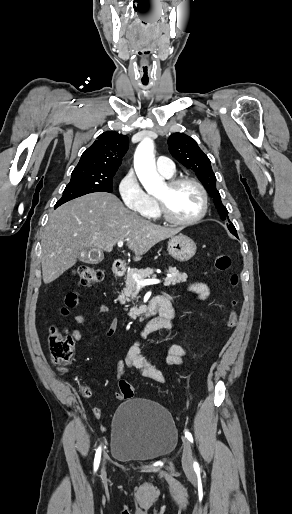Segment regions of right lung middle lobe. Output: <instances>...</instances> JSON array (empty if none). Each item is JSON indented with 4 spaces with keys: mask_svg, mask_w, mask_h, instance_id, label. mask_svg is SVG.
I'll return each mask as SVG.
<instances>
[{
    "mask_svg": "<svg viewBox=\"0 0 292 514\" xmlns=\"http://www.w3.org/2000/svg\"><path fill=\"white\" fill-rule=\"evenodd\" d=\"M93 192H113V176L71 174V180L63 191L55 208L74 198Z\"/></svg>",
    "mask_w": 292,
    "mask_h": 514,
    "instance_id": "1",
    "label": "right lung middle lobe"
}]
</instances>
